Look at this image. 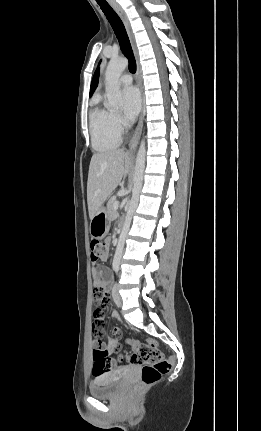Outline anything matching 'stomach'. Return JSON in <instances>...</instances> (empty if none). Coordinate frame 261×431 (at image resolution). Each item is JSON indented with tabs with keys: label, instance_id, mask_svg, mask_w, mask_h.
Segmentation results:
<instances>
[{
	"label": "stomach",
	"instance_id": "0dacf381",
	"mask_svg": "<svg viewBox=\"0 0 261 431\" xmlns=\"http://www.w3.org/2000/svg\"><path fill=\"white\" fill-rule=\"evenodd\" d=\"M110 219L105 207H101L90 222V234L93 238L103 239L109 232Z\"/></svg>",
	"mask_w": 261,
	"mask_h": 431
}]
</instances>
